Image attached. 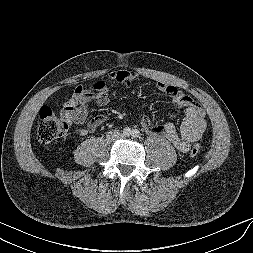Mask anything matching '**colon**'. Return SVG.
<instances>
[{"instance_id": "5ec220e1", "label": "colon", "mask_w": 253, "mask_h": 253, "mask_svg": "<svg viewBox=\"0 0 253 253\" xmlns=\"http://www.w3.org/2000/svg\"><path fill=\"white\" fill-rule=\"evenodd\" d=\"M68 123L56 116L47 106H43L38 113L37 140L41 144H49L54 140L66 135ZM201 153L200 145H194L190 150L192 157H197Z\"/></svg>"}]
</instances>
